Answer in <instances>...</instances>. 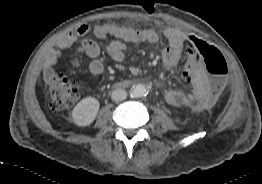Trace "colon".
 Masks as SVG:
<instances>
[{
    "mask_svg": "<svg viewBox=\"0 0 262 184\" xmlns=\"http://www.w3.org/2000/svg\"><path fill=\"white\" fill-rule=\"evenodd\" d=\"M198 60L208 74L207 88L211 102L219 99L227 83L228 66L221 52L201 39H194ZM79 94L78 84L66 74L53 75L49 81L50 106L55 110L71 106Z\"/></svg>",
    "mask_w": 262,
    "mask_h": 184,
    "instance_id": "5ec220e1",
    "label": "colon"
}]
</instances>
